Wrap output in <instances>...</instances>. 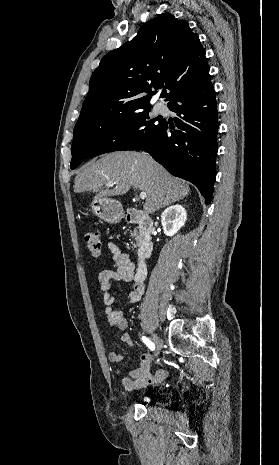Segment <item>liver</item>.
<instances>
[{"label":"liver","mask_w":279,"mask_h":465,"mask_svg":"<svg viewBox=\"0 0 279 465\" xmlns=\"http://www.w3.org/2000/svg\"><path fill=\"white\" fill-rule=\"evenodd\" d=\"M112 182L114 188L107 184ZM106 188H105V187ZM131 187L147 194L143 210L152 214L185 198L190 188L173 177L146 153L116 151L84 165L74 181V192H96L94 198L123 195Z\"/></svg>","instance_id":"1"}]
</instances>
